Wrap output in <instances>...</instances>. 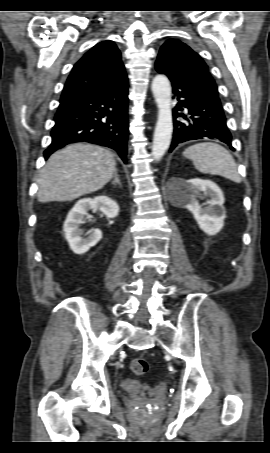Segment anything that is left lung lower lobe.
Returning a JSON list of instances; mask_svg holds the SVG:
<instances>
[{
  "label": "left lung lower lobe",
  "mask_w": 270,
  "mask_h": 453,
  "mask_svg": "<svg viewBox=\"0 0 270 453\" xmlns=\"http://www.w3.org/2000/svg\"><path fill=\"white\" fill-rule=\"evenodd\" d=\"M156 70L169 77L172 82L173 93L178 103L173 111L174 134L169 152L185 141L194 139H219L231 145L232 136L226 126V118L217 94L179 78L162 64L156 63ZM188 109V116L178 113ZM178 116L184 117L183 121L175 120Z\"/></svg>",
  "instance_id": "left-lung-lower-lobe-1"
}]
</instances>
